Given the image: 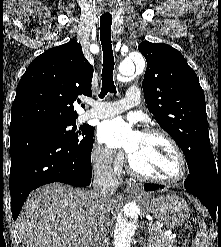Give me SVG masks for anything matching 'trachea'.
Returning <instances> with one entry per match:
<instances>
[{"instance_id":"3493384b","label":"trachea","mask_w":221,"mask_h":247,"mask_svg":"<svg viewBox=\"0 0 221 247\" xmlns=\"http://www.w3.org/2000/svg\"><path fill=\"white\" fill-rule=\"evenodd\" d=\"M111 15H102L100 17V40L103 50V69H102V88L99 94L104 98L108 92L116 94V86L113 81L114 57L111 42Z\"/></svg>"}]
</instances>
